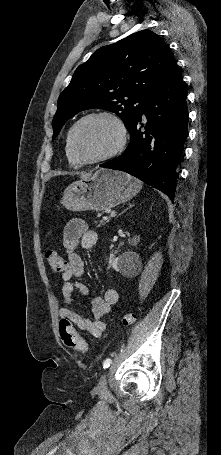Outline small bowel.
Returning <instances> with one entry per match:
<instances>
[{"label": "small bowel", "mask_w": 221, "mask_h": 455, "mask_svg": "<svg viewBox=\"0 0 221 455\" xmlns=\"http://www.w3.org/2000/svg\"><path fill=\"white\" fill-rule=\"evenodd\" d=\"M98 242V234L90 230L85 222L73 219L64 228L63 245L67 251V269L62 273V293L66 306L60 308L61 319H68L79 329L95 338H101L106 330L102 318L110 312L111 306L118 300V292L114 287H108L101 296L91 301L92 318L88 319L74 311L70 305L74 301V292L87 295L88 287L79 278L84 274L85 266L82 258L75 252L78 246L85 249L94 247Z\"/></svg>", "instance_id": "c3829d8e"}]
</instances>
